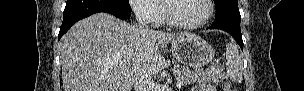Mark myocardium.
Segmentation results:
<instances>
[{
    "instance_id": "obj_1",
    "label": "myocardium",
    "mask_w": 304,
    "mask_h": 91,
    "mask_svg": "<svg viewBox=\"0 0 304 91\" xmlns=\"http://www.w3.org/2000/svg\"><path fill=\"white\" fill-rule=\"evenodd\" d=\"M174 1H178V0L163 1V8H164L166 22L169 26H171L173 28L183 29V30H193V29L201 28L204 25H206L213 16V12H214L213 1L204 0L205 4L207 6V14L201 21H199L197 23H193V24H186V23L179 22V21L175 20L173 18V16L171 15L170 4Z\"/></svg>"
}]
</instances>
